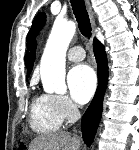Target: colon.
I'll list each match as a JSON object with an SVG mask.
<instances>
[{
    "label": "colon",
    "mask_w": 139,
    "mask_h": 150,
    "mask_svg": "<svg viewBox=\"0 0 139 150\" xmlns=\"http://www.w3.org/2000/svg\"><path fill=\"white\" fill-rule=\"evenodd\" d=\"M17 150H26V146L23 144H20L17 148Z\"/></svg>",
    "instance_id": "5ec220e1"
}]
</instances>
